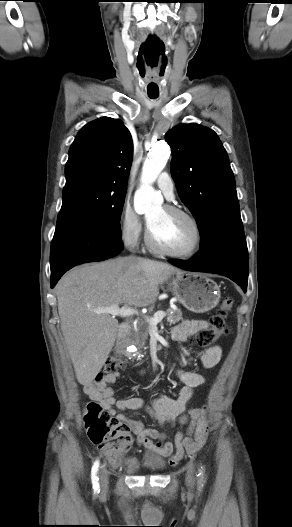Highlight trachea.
Segmentation results:
<instances>
[{
  "instance_id": "obj_1",
  "label": "trachea",
  "mask_w": 292,
  "mask_h": 527,
  "mask_svg": "<svg viewBox=\"0 0 292 527\" xmlns=\"http://www.w3.org/2000/svg\"><path fill=\"white\" fill-rule=\"evenodd\" d=\"M149 96H150L151 98H155V97H157V95H153V94H150Z\"/></svg>"
}]
</instances>
